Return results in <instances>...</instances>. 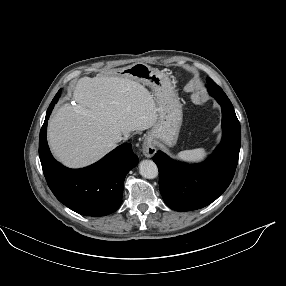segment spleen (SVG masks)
Wrapping results in <instances>:
<instances>
[{
	"instance_id": "obj_1",
	"label": "spleen",
	"mask_w": 286,
	"mask_h": 286,
	"mask_svg": "<svg viewBox=\"0 0 286 286\" xmlns=\"http://www.w3.org/2000/svg\"><path fill=\"white\" fill-rule=\"evenodd\" d=\"M176 157L186 162H198L206 157V151L202 148L179 152Z\"/></svg>"
}]
</instances>
